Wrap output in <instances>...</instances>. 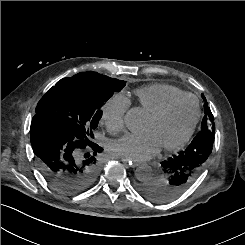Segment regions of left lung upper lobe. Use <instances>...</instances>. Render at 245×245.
<instances>
[{"label":"left lung upper lobe","mask_w":245,"mask_h":245,"mask_svg":"<svg viewBox=\"0 0 245 245\" xmlns=\"http://www.w3.org/2000/svg\"><path fill=\"white\" fill-rule=\"evenodd\" d=\"M202 98L206 101L204 95H202ZM204 112L205 116L202 120L200 132L208 130L215 131V124L213 123L214 117L207 103H205L204 105Z\"/></svg>","instance_id":"obj_1"}]
</instances>
